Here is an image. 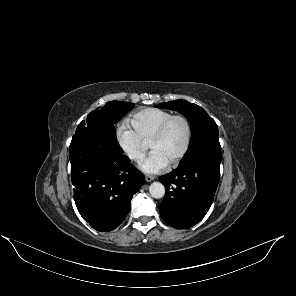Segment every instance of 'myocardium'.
Instances as JSON below:
<instances>
[{
  "label": "myocardium",
  "mask_w": 296,
  "mask_h": 296,
  "mask_svg": "<svg viewBox=\"0 0 296 296\" xmlns=\"http://www.w3.org/2000/svg\"><path fill=\"white\" fill-rule=\"evenodd\" d=\"M175 120H182L185 123L186 129H187V136H186L185 145H184L181 153L178 155V157L175 160H173L170 163L172 166L178 165L186 157V155L190 149V146L192 143L193 131H192V124H191L189 118L183 114L172 115L162 124V126L160 127V129L158 130V132L156 133V135L154 136V138L152 139V141L150 143V147H152L157 142H160L166 136L168 129L170 128L171 124Z\"/></svg>",
  "instance_id": "1"
}]
</instances>
